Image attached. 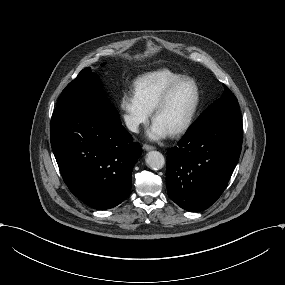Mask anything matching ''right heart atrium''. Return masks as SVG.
I'll list each match as a JSON object with an SVG mask.
<instances>
[{"label": "right heart atrium", "instance_id": "right-heart-atrium-1", "mask_svg": "<svg viewBox=\"0 0 285 285\" xmlns=\"http://www.w3.org/2000/svg\"><path fill=\"white\" fill-rule=\"evenodd\" d=\"M120 108L124 113L127 125L133 130H137L146 124L151 116V111L143 104L135 87H129L122 94Z\"/></svg>", "mask_w": 285, "mask_h": 285}]
</instances>
